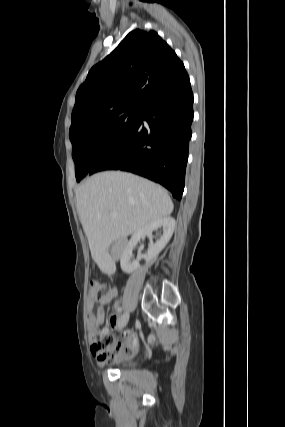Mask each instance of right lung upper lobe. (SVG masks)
Masks as SVG:
<instances>
[{
  "label": "right lung upper lobe",
  "instance_id": "obj_1",
  "mask_svg": "<svg viewBox=\"0 0 285 427\" xmlns=\"http://www.w3.org/2000/svg\"><path fill=\"white\" fill-rule=\"evenodd\" d=\"M185 70L153 30L136 29L89 71L76 93L69 134L129 105H141L156 87Z\"/></svg>",
  "mask_w": 285,
  "mask_h": 427
}]
</instances>
